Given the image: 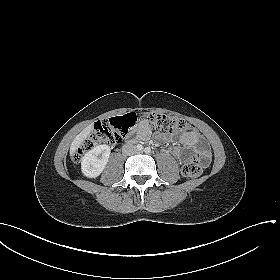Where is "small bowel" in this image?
Here are the masks:
<instances>
[{
    "label": "small bowel",
    "mask_w": 280,
    "mask_h": 280,
    "mask_svg": "<svg viewBox=\"0 0 280 280\" xmlns=\"http://www.w3.org/2000/svg\"><path fill=\"white\" fill-rule=\"evenodd\" d=\"M149 136H150L149 128L147 127L145 122H141L136 130V138L145 140ZM180 143L185 148L196 149L198 153L201 155H208V159H210L209 145L197 131L189 130L185 132L180 137ZM171 152L174 155L179 156L182 154V149L180 147H174L172 148Z\"/></svg>",
    "instance_id": "c3829d8e"
}]
</instances>
